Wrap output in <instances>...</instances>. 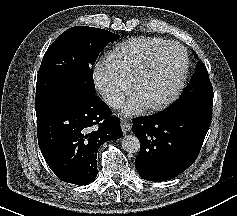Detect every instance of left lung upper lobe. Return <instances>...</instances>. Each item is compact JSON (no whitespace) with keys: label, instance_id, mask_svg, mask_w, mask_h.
I'll list each match as a JSON object with an SVG mask.
<instances>
[{"label":"left lung upper lobe","instance_id":"obj_1","mask_svg":"<svg viewBox=\"0 0 237 216\" xmlns=\"http://www.w3.org/2000/svg\"><path fill=\"white\" fill-rule=\"evenodd\" d=\"M212 104L213 89L210 84L208 71L206 66L199 61L195 74L183 90L181 97L166 111H184L211 119Z\"/></svg>","mask_w":237,"mask_h":216}]
</instances>
